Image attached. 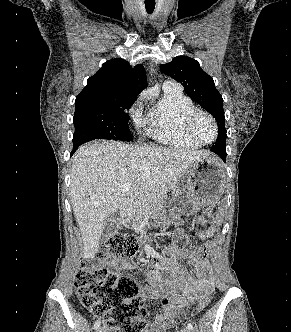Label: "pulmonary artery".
Returning <instances> with one entry per match:
<instances>
[{"mask_svg": "<svg viewBox=\"0 0 291 332\" xmlns=\"http://www.w3.org/2000/svg\"><path fill=\"white\" fill-rule=\"evenodd\" d=\"M164 88H170V89H181V86L179 83L172 81V80H167L164 83Z\"/></svg>", "mask_w": 291, "mask_h": 332, "instance_id": "e3ab8cb5", "label": "pulmonary artery"}]
</instances>
